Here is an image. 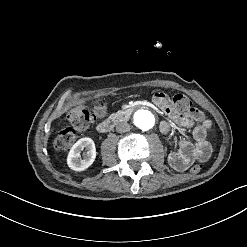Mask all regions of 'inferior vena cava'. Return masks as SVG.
Listing matches in <instances>:
<instances>
[{"mask_svg": "<svg viewBox=\"0 0 247 247\" xmlns=\"http://www.w3.org/2000/svg\"><path fill=\"white\" fill-rule=\"evenodd\" d=\"M130 130V125L126 122H119L116 125V131L119 133L127 132Z\"/></svg>", "mask_w": 247, "mask_h": 247, "instance_id": "602c4592", "label": "inferior vena cava"}]
</instances>
